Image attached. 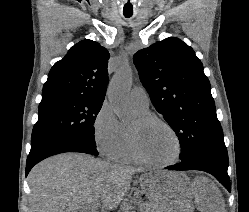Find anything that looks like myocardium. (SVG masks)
<instances>
[{
	"instance_id": "obj_1",
	"label": "myocardium",
	"mask_w": 249,
	"mask_h": 212,
	"mask_svg": "<svg viewBox=\"0 0 249 212\" xmlns=\"http://www.w3.org/2000/svg\"><path fill=\"white\" fill-rule=\"evenodd\" d=\"M137 123L139 126H148L152 124L162 125L175 137L178 144V154L174 160L169 162H154L146 158L143 155V153L140 151L135 134L133 133V130L130 128L128 132L129 145L131 152L137 162L154 168H168L175 166L181 161L184 152L183 143L178 132L174 129V127L170 123L154 115L140 116L137 120Z\"/></svg>"
}]
</instances>
